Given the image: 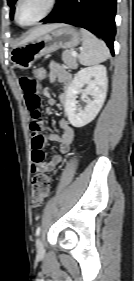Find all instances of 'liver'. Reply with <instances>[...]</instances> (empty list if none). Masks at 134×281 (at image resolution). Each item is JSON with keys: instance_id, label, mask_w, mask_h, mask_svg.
Returning <instances> with one entry per match:
<instances>
[{"instance_id": "1", "label": "liver", "mask_w": 134, "mask_h": 281, "mask_svg": "<svg viewBox=\"0 0 134 281\" xmlns=\"http://www.w3.org/2000/svg\"><path fill=\"white\" fill-rule=\"evenodd\" d=\"M56 27H58V24L44 25V26L38 27L36 29H33L30 32V34L23 41H21L20 44L28 43V42L34 40L35 38L51 31L52 29H54Z\"/></svg>"}]
</instances>
